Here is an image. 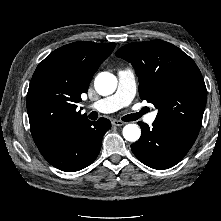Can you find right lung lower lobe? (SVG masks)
I'll use <instances>...</instances> for the list:
<instances>
[{
	"label": "right lung lower lobe",
	"mask_w": 221,
	"mask_h": 221,
	"mask_svg": "<svg viewBox=\"0 0 221 221\" xmlns=\"http://www.w3.org/2000/svg\"><path fill=\"white\" fill-rule=\"evenodd\" d=\"M111 122L100 118L97 122L83 121L37 143L43 157L54 167L65 171H79L98 156L103 135Z\"/></svg>",
	"instance_id": "98d812e1"
}]
</instances>
